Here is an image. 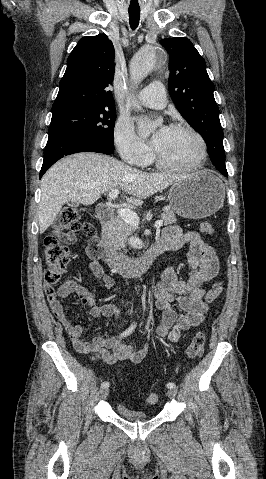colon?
I'll list each match as a JSON object with an SVG mask.
<instances>
[{
	"instance_id": "colon-1",
	"label": "colon",
	"mask_w": 266,
	"mask_h": 479,
	"mask_svg": "<svg viewBox=\"0 0 266 479\" xmlns=\"http://www.w3.org/2000/svg\"><path fill=\"white\" fill-rule=\"evenodd\" d=\"M79 216L80 212L76 207H65L55 221L53 233L49 234L44 240V284L47 292H52L56 289L61 275L70 261L68 249L62 243L60 237L62 234L84 237L92 244L97 243L98 238L94 226L90 222L80 221ZM199 231L207 236H212L215 233L214 226L208 219L200 222ZM205 340L204 333L197 332L187 347V356L191 359L200 357L204 352ZM146 401L152 405L156 404L158 395L149 393L146 396Z\"/></svg>"
}]
</instances>
